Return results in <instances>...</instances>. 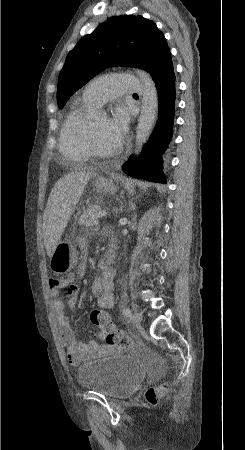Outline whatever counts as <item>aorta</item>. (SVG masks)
Returning <instances> with one entry per match:
<instances>
[{
	"label": "aorta",
	"mask_w": 245,
	"mask_h": 450,
	"mask_svg": "<svg viewBox=\"0 0 245 450\" xmlns=\"http://www.w3.org/2000/svg\"><path fill=\"white\" fill-rule=\"evenodd\" d=\"M135 73L143 85L141 113L135 135V154L139 155L155 122L158 109V95L155 83L147 72L136 69Z\"/></svg>",
	"instance_id": "762f6f07"
}]
</instances>
